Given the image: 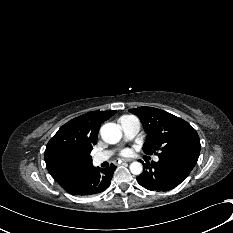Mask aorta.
Wrapping results in <instances>:
<instances>
[{
    "instance_id": "obj_1",
    "label": "aorta",
    "mask_w": 233,
    "mask_h": 233,
    "mask_svg": "<svg viewBox=\"0 0 233 233\" xmlns=\"http://www.w3.org/2000/svg\"><path fill=\"white\" fill-rule=\"evenodd\" d=\"M102 139L108 144H116L122 138V132L115 123L104 124L100 129ZM130 171L134 175H140L143 171V166L140 162H132L130 164Z\"/></svg>"
}]
</instances>
